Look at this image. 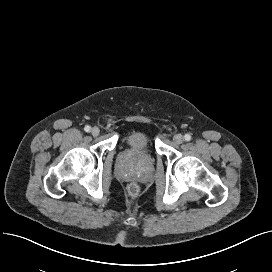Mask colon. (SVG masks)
I'll use <instances>...</instances> for the list:
<instances>
[{"mask_svg":"<svg viewBox=\"0 0 272 272\" xmlns=\"http://www.w3.org/2000/svg\"><path fill=\"white\" fill-rule=\"evenodd\" d=\"M127 191L130 196H136V195H138L140 188H139L138 184L131 183L128 185Z\"/></svg>","mask_w":272,"mask_h":272,"instance_id":"colon-1","label":"colon"}]
</instances>
